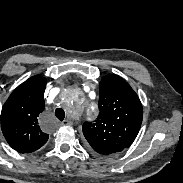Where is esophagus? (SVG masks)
<instances>
[{
	"label": "esophagus",
	"instance_id": "1",
	"mask_svg": "<svg viewBox=\"0 0 183 183\" xmlns=\"http://www.w3.org/2000/svg\"><path fill=\"white\" fill-rule=\"evenodd\" d=\"M62 125H72V122L70 120H64Z\"/></svg>",
	"mask_w": 183,
	"mask_h": 183
}]
</instances>
